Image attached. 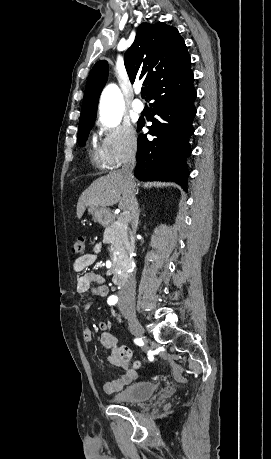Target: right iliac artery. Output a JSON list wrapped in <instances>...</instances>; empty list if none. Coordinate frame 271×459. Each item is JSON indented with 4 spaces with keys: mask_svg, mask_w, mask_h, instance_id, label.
<instances>
[{
    "mask_svg": "<svg viewBox=\"0 0 271 459\" xmlns=\"http://www.w3.org/2000/svg\"><path fill=\"white\" fill-rule=\"evenodd\" d=\"M117 299L116 298H113V297H109L107 302L109 305H115L117 303Z\"/></svg>",
    "mask_w": 271,
    "mask_h": 459,
    "instance_id": "right-iliac-artery-1",
    "label": "right iliac artery"
}]
</instances>
